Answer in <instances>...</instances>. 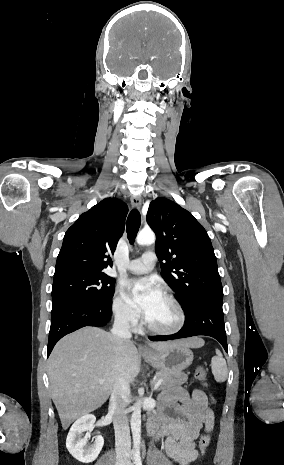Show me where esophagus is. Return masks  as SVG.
<instances>
[{
  "instance_id": "1",
  "label": "esophagus",
  "mask_w": 284,
  "mask_h": 465,
  "mask_svg": "<svg viewBox=\"0 0 284 465\" xmlns=\"http://www.w3.org/2000/svg\"><path fill=\"white\" fill-rule=\"evenodd\" d=\"M131 205L136 208L141 207V197L139 195H132L131 196Z\"/></svg>"
}]
</instances>
